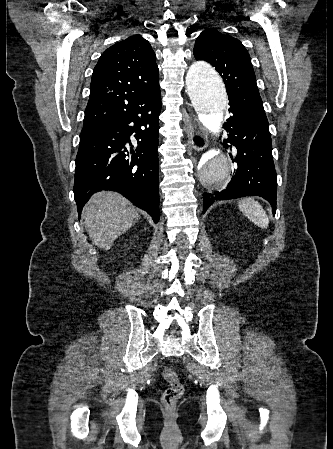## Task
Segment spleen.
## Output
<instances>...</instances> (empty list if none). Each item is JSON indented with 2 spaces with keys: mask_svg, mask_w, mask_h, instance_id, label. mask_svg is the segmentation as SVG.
I'll return each mask as SVG.
<instances>
[{
  "mask_svg": "<svg viewBox=\"0 0 333 449\" xmlns=\"http://www.w3.org/2000/svg\"><path fill=\"white\" fill-rule=\"evenodd\" d=\"M239 209L243 212L250 221L260 228H267L269 225V218L266 211L260 203L253 198H244L239 203Z\"/></svg>",
  "mask_w": 333,
  "mask_h": 449,
  "instance_id": "obj_1",
  "label": "spleen"
}]
</instances>
